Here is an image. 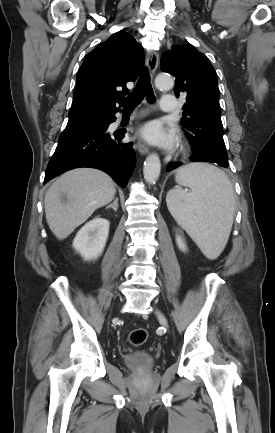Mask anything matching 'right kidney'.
Returning <instances> with one entry per match:
<instances>
[{"label": "right kidney", "mask_w": 275, "mask_h": 433, "mask_svg": "<svg viewBox=\"0 0 275 433\" xmlns=\"http://www.w3.org/2000/svg\"><path fill=\"white\" fill-rule=\"evenodd\" d=\"M109 224L108 220L98 216L87 222L76 234L73 247L85 260L96 259L102 254L109 234Z\"/></svg>", "instance_id": "1"}]
</instances>
